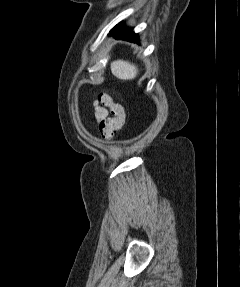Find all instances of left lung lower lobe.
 <instances>
[{
	"mask_svg": "<svg viewBox=\"0 0 240 287\" xmlns=\"http://www.w3.org/2000/svg\"><path fill=\"white\" fill-rule=\"evenodd\" d=\"M110 34L115 39H122L127 40L131 42H138L137 41V35L133 33L132 29L123 28L122 23H119L116 25L111 31Z\"/></svg>",
	"mask_w": 240,
	"mask_h": 287,
	"instance_id": "0a47b994",
	"label": "left lung lower lobe"
}]
</instances>
